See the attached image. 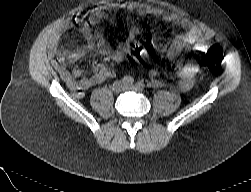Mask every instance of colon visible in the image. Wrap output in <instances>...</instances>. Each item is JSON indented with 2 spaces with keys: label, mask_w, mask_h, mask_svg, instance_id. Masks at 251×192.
<instances>
[{
  "label": "colon",
  "mask_w": 251,
  "mask_h": 192,
  "mask_svg": "<svg viewBox=\"0 0 251 192\" xmlns=\"http://www.w3.org/2000/svg\"><path fill=\"white\" fill-rule=\"evenodd\" d=\"M148 52V46L145 43L135 42L132 44L130 48V53L139 57ZM222 64V56L217 53L210 51L205 59L201 63V68L206 71H215L221 67Z\"/></svg>",
  "instance_id": "obj_1"
}]
</instances>
